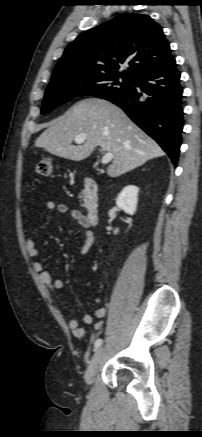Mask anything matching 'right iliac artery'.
Masks as SVG:
<instances>
[{
	"label": "right iliac artery",
	"instance_id": "82829eb1",
	"mask_svg": "<svg viewBox=\"0 0 202 437\" xmlns=\"http://www.w3.org/2000/svg\"><path fill=\"white\" fill-rule=\"evenodd\" d=\"M101 344H102V339H100V338L97 339V340L95 341V344H94L95 349H97L98 347H100Z\"/></svg>",
	"mask_w": 202,
	"mask_h": 437
}]
</instances>
